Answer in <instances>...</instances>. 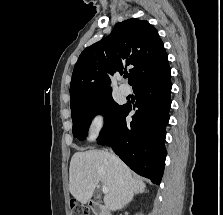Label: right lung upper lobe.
I'll return each mask as SVG.
<instances>
[{
	"label": "right lung upper lobe",
	"instance_id": "cb5924a9",
	"mask_svg": "<svg viewBox=\"0 0 223 215\" xmlns=\"http://www.w3.org/2000/svg\"><path fill=\"white\" fill-rule=\"evenodd\" d=\"M124 66H134L129 78L132 86L170 68L163 42L146 20L132 18L117 23L109 36L81 53L71 79L70 107L111 95L109 74H122Z\"/></svg>",
	"mask_w": 223,
	"mask_h": 215
}]
</instances>
